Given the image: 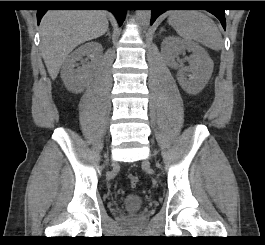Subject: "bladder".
I'll use <instances>...</instances> for the list:
<instances>
[{"label":"bladder","mask_w":265,"mask_h":245,"mask_svg":"<svg viewBox=\"0 0 265 245\" xmlns=\"http://www.w3.org/2000/svg\"><path fill=\"white\" fill-rule=\"evenodd\" d=\"M123 206L128 211L139 210L143 206V198L139 194H129L125 197Z\"/></svg>","instance_id":"31cf9c89"}]
</instances>
